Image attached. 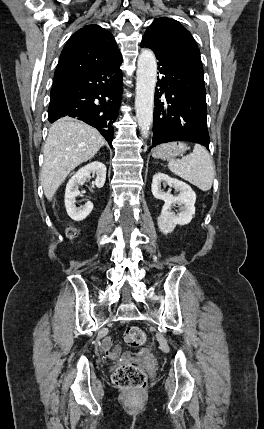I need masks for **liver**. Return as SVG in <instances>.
<instances>
[{"label": "liver", "mask_w": 264, "mask_h": 429, "mask_svg": "<svg viewBox=\"0 0 264 429\" xmlns=\"http://www.w3.org/2000/svg\"><path fill=\"white\" fill-rule=\"evenodd\" d=\"M105 144L103 136L93 127L65 117L49 129L44 145V162L40 182L50 201L67 175L88 161Z\"/></svg>", "instance_id": "1"}]
</instances>
